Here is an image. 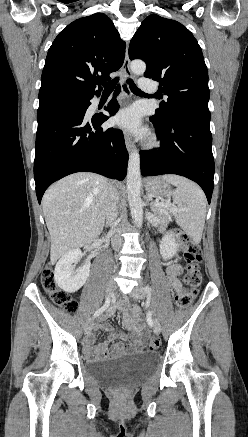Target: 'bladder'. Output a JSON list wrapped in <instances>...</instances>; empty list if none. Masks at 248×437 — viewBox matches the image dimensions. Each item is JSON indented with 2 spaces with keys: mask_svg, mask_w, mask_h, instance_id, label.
<instances>
[{
  "mask_svg": "<svg viewBox=\"0 0 248 437\" xmlns=\"http://www.w3.org/2000/svg\"><path fill=\"white\" fill-rule=\"evenodd\" d=\"M154 352L127 353L88 365V374L108 385L133 383L150 373L157 362Z\"/></svg>",
  "mask_w": 248,
  "mask_h": 437,
  "instance_id": "31cf9c89",
  "label": "bladder"
}]
</instances>
